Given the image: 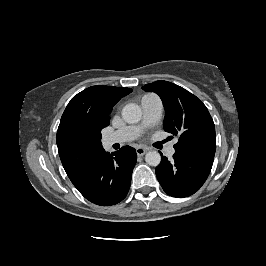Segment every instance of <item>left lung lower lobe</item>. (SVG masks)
<instances>
[{
  "label": "left lung lower lobe",
  "instance_id": "obj_1",
  "mask_svg": "<svg viewBox=\"0 0 266 266\" xmlns=\"http://www.w3.org/2000/svg\"><path fill=\"white\" fill-rule=\"evenodd\" d=\"M214 155L175 152L169 161L161 153V163L155 173L163 190L173 197H188L206 181Z\"/></svg>",
  "mask_w": 266,
  "mask_h": 266
}]
</instances>
